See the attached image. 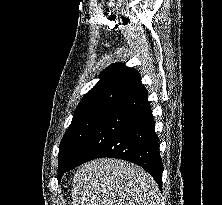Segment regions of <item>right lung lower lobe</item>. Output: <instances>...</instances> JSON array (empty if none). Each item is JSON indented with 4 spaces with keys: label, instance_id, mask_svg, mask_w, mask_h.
Segmentation results:
<instances>
[{
    "label": "right lung lower lobe",
    "instance_id": "right-lung-lower-lobe-1",
    "mask_svg": "<svg viewBox=\"0 0 222 205\" xmlns=\"http://www.w3.org/2000/svg\"><path fill=\"white\" fill-rule=\"evenodd\" d=\"M101 157L138 164L162 187L163 164L159 139L144 87L106 113L86 138L66 171ZM60 180L61 178L59 182Z\"/></svg>",
    "mask_w": 222,
    "mask_h": 205
}]
</instances>
